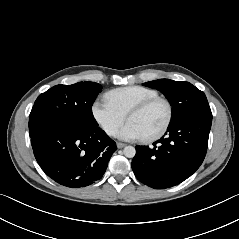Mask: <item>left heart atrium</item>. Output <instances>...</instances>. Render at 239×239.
Instances as JSON below:
<instances>
[{
    "label": "left heart atrium",
    "instance_id": "39dd6f15",
    "mask_svg": "<svg viewBox=\"0 0 239 239\" xmlns=\"http://www.w3.org/2000/svg\"><path fill=\"white\" fill-rule=\"evenodd\" d=\"M117 136L123 140H137L144 137L140 130L129 121L121 127Z\"/></svg>",
    "mask_w": 239,
    "mask_h": 239
}]
</instances>
